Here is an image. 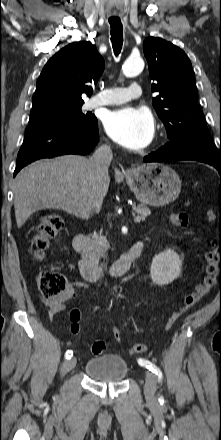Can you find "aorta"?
Listing matches in <instances>:
<instances>
[{"label": "aorta", "mask_w": 221, "mask_h": 440, "mask_svg": "<svg viewBox=\"0 0 221 440\" xmlns=\"http://www.w3.org/2000/svg\"><path fill=\"white\" fill-rule=\"evenodd\" d=\"M143 68H144V61L140 57L128 58L122 67L123 74L126 77H134V76L138 75L139 73H141Z\"/></svg>", "instance_id": "762f6f07"}]
</instances>
